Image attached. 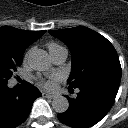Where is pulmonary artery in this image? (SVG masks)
I'll return each instance as SVG.
<instances>
[{
    "label": "pulmonary artery",
    "instance_id": "pulmonary-artery-1",
    "mask_svg": "<svg viewBox=\"0 0 128 128\" xmlns=\"http://www.w3.org/2000/svg\"><path fill=\"white\" fill-rule=\"evenodd\" d=\"M68 52L65 48H60L51 54L52 60L56 64H62L67 58Z\"/></svg>",
    "mask_w": 128,
    "mask_h": 128
}]
</instances>
